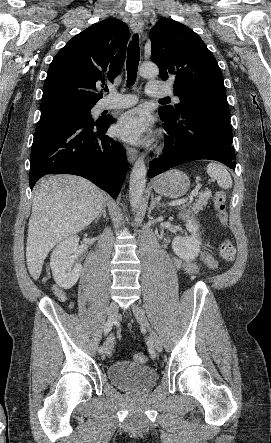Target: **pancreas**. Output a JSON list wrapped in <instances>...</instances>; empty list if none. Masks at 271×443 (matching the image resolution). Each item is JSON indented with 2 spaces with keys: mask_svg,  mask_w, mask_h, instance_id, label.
<instances>
[{
  "mask_svg": "<svg viewBox=\"0 0 271 443\" xmlns=\"http://www.w3.org/2000/svg\"><path fill=\"white\" fill-rule=\"evenodd\" d=\"M211 198V192H203V194H200L196 204H193V206H190V210H186L188 214H198L199 210H203L204 206H207V202ZM186 206H183L181 210H185Z\"/></svg>",
  "mask_w": 271,
  "mask_h": 443,
  "instance_id": "obj_1",
  "label": "pancreas"
}]
</instances>
